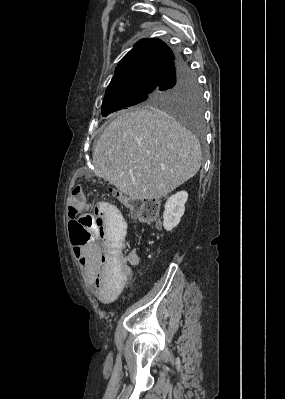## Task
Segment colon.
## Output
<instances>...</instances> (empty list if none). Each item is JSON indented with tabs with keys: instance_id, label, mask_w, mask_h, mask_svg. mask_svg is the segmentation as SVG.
Listing matches in <instances>:
<instances>
[{
	"instance_id": "1",
	"label": "colon",
	"mask_w": 285,
	"mask_h": 399,
	"mask_svg": "<svg viewBox=\"0 0 285 399\" xmlns=\"http://www.w3.org/2000/svg\"><path fill=\"white\" fill-rule=\"evenodd\" d=\"M125 207L129 213L143 222H149L154 225L160 223V205L155 199H145L141 202L130 200L125 202ZM69 212L73 218L69 221V233L73 244H85L97 240L95 233L87 229L92 217L86 212L87 196L80 185H74L71 189ZM116 247H111L109 252L115 253ZM121 263L118 265L119 273L122 277L130 275V266L133 261V254L125 252L121 255Z\"/></svg>"
}]
</instances>
